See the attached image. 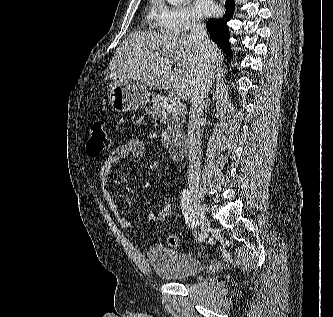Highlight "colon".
Returning <instances> with one entry per match:
<instances>
[{
  "label": "colon",
  "mask_w": 333,
  "mask_h": 317,
  "mask_svg": "<svg viewBox=\"0 0 333 317\" xmlns=\"http://www.w3.org/2000/svg\"><path fill=\"white\" fill-rule=\"evenodd\" d=\"M110 145V137L99 122H94L90 128V135L86 144L87 154L91 157L99 156ZM174 217V208L171 203H166L155 211V221L170 222ZM167 244L172 248L180 245L177 235L169 234Z\"/></svg>",
  "instance_id": "5ec220e1"
}]
</instances>
